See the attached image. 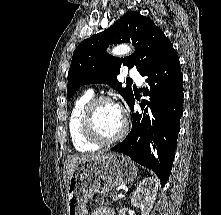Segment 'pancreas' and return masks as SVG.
<instances>
[{
	"label": "pancreas",
	"instance_id": "obj_1",
	"mask_svg": "<svg viewBox=\"0 0 221 215\" xmlns=\"http://www.w3.org/2000/svg\"><path fill=\"white\" fill-rule=\"evenodd\" d=\"M114 196L115 195L113 193H104L103 195L96 197L94 201L96 205L110 206L113 201H116L113 199Z\"/></svg>",
	"mask_w": 221,
	"mask_h": 215
}]
</instances>
